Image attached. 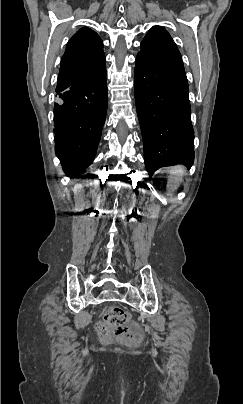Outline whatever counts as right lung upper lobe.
Wrapping results in <instances>:
<instances>
[{
	"mask_svg": "<svg viewBox=\"0 0 243 404\" xmlns=\"http://www.w3.org/2000/svg\"><path fill=\"white\" fill-rule=\"evenodd\" d=\"M105 66L103 42L96 32L84 27L69 40L61 60L56 91L91 76Z\"/></svg>",
	"mask_w": 243,
	"mask_h": 404,
	"instance_id": "right-lung-upper-lobe-1",
	"label": "right lung upper lobe"
}]
</instances>
